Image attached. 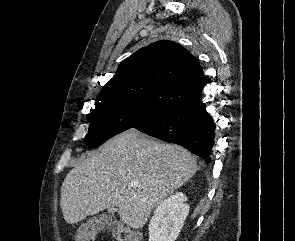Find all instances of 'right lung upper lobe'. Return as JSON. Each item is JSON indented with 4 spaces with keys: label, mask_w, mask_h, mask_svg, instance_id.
Masks as SVG:
<instances>
[{
    "label": "right lung upper lobe",
    "mask_w": 295,
    "mask_h": 241,
    "mask_svg": "<svg viewBox=\"0 0 295 241\" xmlns=\"http://www.w3.org/2000/svg\"><path fill=\"white\" fill-rule=\"evenodd\" d=\"M204 84L198 60L181 45L161 40L123 60L99 96L167 110L201 96Z\"/></svg>",
    "instance_id": "right-lung-upper-lobe-1"
}]
</instances>
